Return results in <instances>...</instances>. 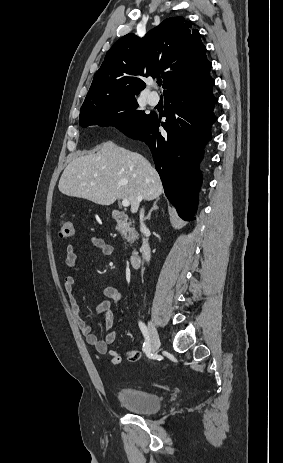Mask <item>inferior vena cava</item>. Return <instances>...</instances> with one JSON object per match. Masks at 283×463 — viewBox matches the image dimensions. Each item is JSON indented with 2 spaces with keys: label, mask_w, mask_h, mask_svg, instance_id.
<instances>
[{
  "label": "inferior vena cava",
  "mask_w": 283,
  "mask_h": 463,
  "mask_svg": "<svg viewBox=\"0 0 283 463\" xmlns=\"http://www.w3.org/2000/svg\"><path fill=\"white\" fill-rule=\"evenodd\" d=\"M140 231L143 234L148 231L147 227L144 224V209L143 208L140 210ZM141 251L144 255L146 262H149L151 258V250H150L148 240L145 238H143Z\"/></svg>",
  "instance_id": "1"
}]
</instances>
